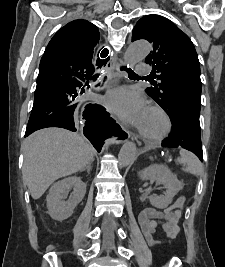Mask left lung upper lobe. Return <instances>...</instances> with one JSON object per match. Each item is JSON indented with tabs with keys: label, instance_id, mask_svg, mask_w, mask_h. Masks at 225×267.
Instances as JSON below:
<instances>
[{
	"label": "left lung upper lobe",
	"instance_id": "obj_1",
	"mask_svg": "<svg viewBox=\"0 0 225 267\" xmlns=\"http://www.w3.org/2000/svg\"><path fill=\"white\" fill-rule=\"evenodd\" d=\"M148 40L153 47L146 57L158 82L146 93L172 119L178 103L187 96L201 97L200 64L190 38L173 22L159 15L142 17L133 29L132 41ZM157 73V75H156Z\"/></svg>",
	"mask_w": 225,
	"mask_h": 267
}]
</instances>
